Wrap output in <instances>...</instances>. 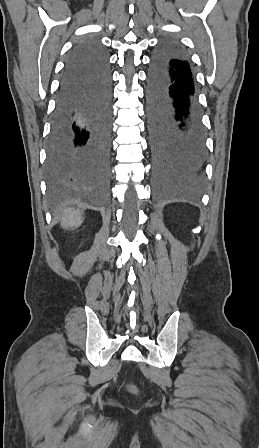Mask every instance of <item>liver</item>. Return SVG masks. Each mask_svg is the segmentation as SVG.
Here are the masks:
<instances>
[{"label": "liver", "mask_w": 259, "mask_h": 448, "mask_svg": "<svg viewBox=\"0 0 259 448\" xmlns=\"http://www.w3.org/2000/svg\"><path fill=\"white\" fill-rule=\"evenodd\" d=\"M83 222V218L80 212L73 210V208H68L66 212V218H63L61 222L62 228H79Z\"/></svg>", "instance_id": "obj_1"}]
</instances>
